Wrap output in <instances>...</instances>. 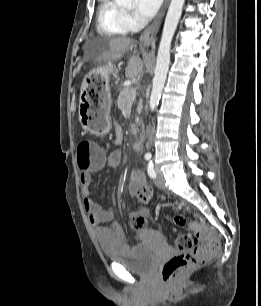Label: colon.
Segmentation results:
<instances>
[{
    "mask_svg": "<svg viewBox=\"0 0 261 306\" xmlns=\"http://www.w3.org/2000/svg\"><path fill=\"white\" fill-rule=\"evenodd\" d=\"M104 160V153L95 147L88 139L81 140L77 145V164L82 170L99 165ZM152 191L145 186L138 192L141 204L149 201ZM174 222L180 226H187L195 237L202 241L196 244V238L189 233L180 234L175 240V247L180 252L164 262L160 272L165 283H173L186 273L205 263L220 247L218 237L212 230L201 223L191 222L183 214L174 216ZM131 226L135 231L146 228L147 221L142 214H137L131 220Z\"/></svg>",
    "mask_w": 261,
    "mask_h": 306,
    "instance_id": "1",
    "label": "colon"
}]
</instances>
